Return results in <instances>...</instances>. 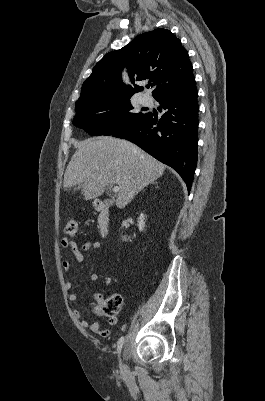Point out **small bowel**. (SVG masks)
Returning <instances> with one entry per match:
<instances>
[{"mask_svg": "<svg viewBox=\"0 0 265 401\" xmlns=\"http://www.w3.org/2000/svg\"><path fill=\"white\" fill-rule=\"evenodd\" d=\"M61 243L64 248L71 251V253L75 257L76 261L79 263H83L86 260L83 252L97 250L101 247V244L98 241H86L80 247L78 246L76 241L70 240L68 238H64ZM71 267H72V263L70 260H64L62 262V268L64 271H66V272L69 271L71 269ZM98 279H99V275L97 273H92L89 276V280L92 282H95ZM65 287L67 290H70L72 288V282L67 281L65 283ZM68 298L71 302H75L77 300L78 296L75 292H71L69 294ZM96 299L98 302L102 300V298L100 296H96ZM74 316L79 320L81 326L85 329H88L90 332L97 334L99 336H102V337H106L109 335V333H110L109 330L102 329L99 323H97V322L89 323L85 319H82L81 312L79 310L76 309L74 311ZM116 321H117L116 317H111L109 319L110 324H115Z\"/></svg>", "mask_w": 265, "mask_h": 401, "instance_id": "c3829d8e", "label": "small bowel"}]
</instances>
